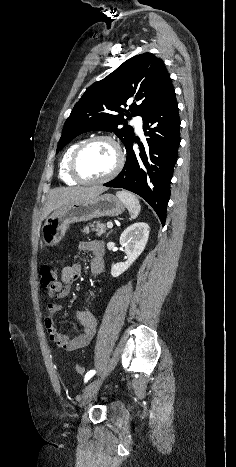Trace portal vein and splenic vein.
Here are the masks:
<instances>
[{"mask_svg": "<svg viewBox=\"0 0 236 467\" xmlns=\"http://www.w3.org/2000/svg\"><path fill=\"white\" fill-rule=\"evenodd\" d=\"M107 227H108L109 229H111V228L113 227V223H112V222H107Z\"/></svg>", "mask_w": 236, "mask_h": 467, "instance_id": "18ae733b", "label": "portal vein and splenic vein"}]
</instances>
